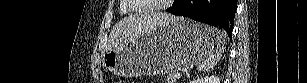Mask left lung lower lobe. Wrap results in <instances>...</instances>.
<instances>
[{
	"label": "left lung lower lobe",
	"mask_w": 307,
	"mask_h": 83,
	"mask_svg": "<svg viewBox=\"0 0 307 83\" xmlns=\"http://www.w3.org/2000/svg\"><path fill=\"white\" fill-rule=\"evenodd\" d=\"M236 9V0H174L166 11L220 27L231 36Z\"/></svg>",
	"instance_id": "0a47b994"
}]
</instances>
